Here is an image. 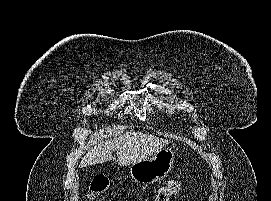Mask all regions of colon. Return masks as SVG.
Wrapping results in <instances>:
<instances>
[{
	"mask_svg": "<svg viewBox=\"0 0 271 201\" xmlns=\"http://www.w3.org/2000/svg\"><path fill=\"white\" fill-rule=\"evenodd\" d=\"M183 177V175H182ZM182 177L170 180L164 187H162L153 201H170L172 197L177 195L182 187ZM108 187L106 178H94L90 185L88 198L93 201L98 195L102 194ZM116 201V200H111Z\"/></svg>",
	"mask_w": 271,
	"mask_h": 201,
	"instance_id": "obj_1",
	"label": "colon"
}]
</instances>
